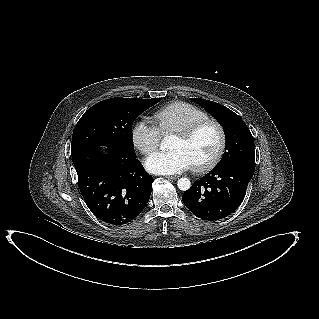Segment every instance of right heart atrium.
<instances>
[{
  "label": "right heart atrium",
  "mask_w": 319,
  "mask_h": 319,
  "mask_svg": "<svg viewBox=\"0 0 319 319\" xmlns=\"http://www.w3.org/2000/svg\"><path fill=\"white\" fill-rule=\"evenodd\" d=\"M131 137L134 146L143 155H148L158 147L161 134L154 125L145 120H139L132 128Z\"/></svg>",
  "instance_id": "d8ad5b80"
}]
</instances>
